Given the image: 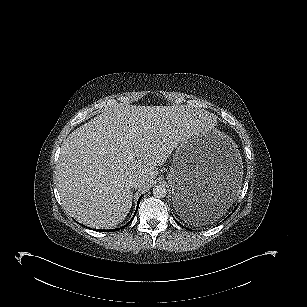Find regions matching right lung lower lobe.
Returning a JSON list of instances; mask_svg holds the SVG:
<instances>
[{"instance_id": "98d812e1", "label": "right lung lower lobe", "mask_w": 307, "mask_h": 307, "mask_svg": "<svg viewBox=\"0 0 307 307\" xmlns=\"http://www.w3.org/2000/svg\"><path fill=\"white\" fill-rule=\"evenodd\" d=\"M140 200H141V197H140L139 200H138L136 212H135L133 218H132L125 226H127V225L134 219V217H135V215H136V213H137V210H138V206H139ZM125 226H124V227H125ZM124 227H122V228H124ZM117 230H120V228H119V229H115V231H117ZM112 231H114V230H112Z\"/></svg>"}]
</instances>
